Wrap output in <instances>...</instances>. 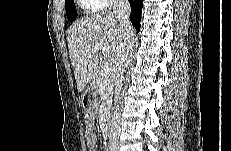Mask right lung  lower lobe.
Returning a JSON list of instances; mask_svg holds the SVG:
<instances>
[{"label": "right lung lower lobe", "instance_id": "right-lung-lower-lobe-1", "mask_svg": "<svg viewBox=\"0 0 231 151\" xmlns=\"http://www.w3.org/2000/svg\"><path fill=\"white\" fill-rule=\"evenodd\" d=\"M131 5L130 21L137 31L140 30L141 12L143 0H128Z\"/></svg>", "mask_w": 231, "mask_h": 151}]
</instances>
